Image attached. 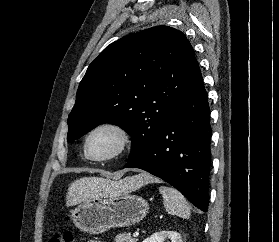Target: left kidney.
Segmentation results:
<instances>
[{
	"instance_id": "left-kidney-1",
	"label": "left kidney",
	"mask_w": 279,
	"mask_h": 242,
	"mask_svg": "<svg viewBox=\"0 0 279 242\" xmlns=\"http://www.w3.org/2000/svg\"><path fill=\"white\" fill-rule=\"evenodd\" d=\"M165 238H169L171 242H182L181 235L176 231H160L152 234L143 242H164Z\"/></svg>"
}]
</instances>
